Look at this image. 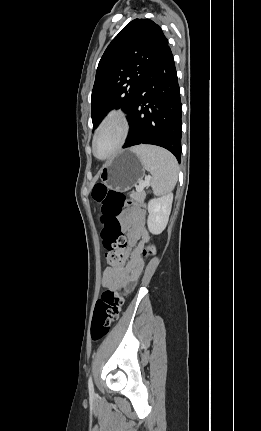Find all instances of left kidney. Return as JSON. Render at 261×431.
<instances>
[{
    "mask_svg": "<svg viewBox=\"0 0 261 431\" xmlns=\"http://www.w3.org/2000/svg\"><path fill=\"white\" fill-rule=\"evenodd\" d=\"M173 195L168 194L148 202V229L152 234H160L167 226L171 212Z\"/></svg>",
    "mask_w": 261,
    "mask_h": 431,
    "instance_id": "1",
    "label": "left kidney"
}]
</instances>
